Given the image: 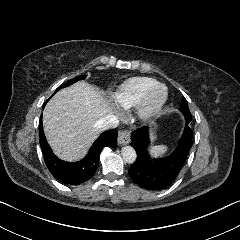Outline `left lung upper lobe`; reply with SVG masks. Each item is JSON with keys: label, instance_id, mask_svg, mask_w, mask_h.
Here are the masks:
<instances>
[{"label": "left lung upper lobe", "instance_id": "obj_1", "mask_svg": "<svg viewBox=\"0 0 240 240\" xmlns=\"http://www.w3.org/2000/svg\"><path fill=\"white\" fill-rule=\"evenodd\" d=\"M181 107V112L183 113V115L185 116V119L187 122H190L192 119V115L190 113L187 101L185 98L182 99V103L180 105Z\"/></svg>", "mask_w": 240, "mask_h": 240}]
</instances>
